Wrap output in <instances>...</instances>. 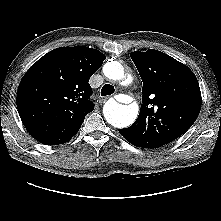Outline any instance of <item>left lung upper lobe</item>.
Instances as JSON below:
<instances>
[{
	"label": "left lung upper lobe",
	"instance_id": "left-lung-upper-lobe-1",
	"mask_svg": "<svg viewBox=\"0 0 221 221\" xmlns=\"http://www.w3.org/2000/svg\"><path fill=\"white\" fill-rule=\"evenodd\" d=\"M141 79L139 116L127 129L137 147L158 148L180 137L196 121L201 92L193 72L171 56L149 49L130 54Z\"/></svg>",
	"mask_w": 221,
	"mask_h": 221
}]
</instances>
